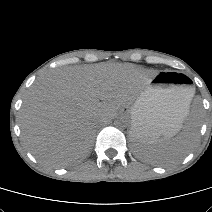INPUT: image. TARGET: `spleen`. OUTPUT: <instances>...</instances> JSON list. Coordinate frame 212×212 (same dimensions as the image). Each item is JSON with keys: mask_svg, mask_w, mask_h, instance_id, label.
<instances>
[{"mask_svg": "<svg viewBox=\"0 0 212 212\" xmlns=\"http://www.w3.org/2000/svg\"><path fill=\"white\" fill-rule=\"evenodd\" d=\"M195 90L191 88L190 93L185 95L184 118L189 114L190 102ZM198 124L195 128L185 126L183 132L178 136L154 145H136V155L146 162L154 165H171L181 161L190 151L193 143L198 137Z\"/></svg>", "mask_w": 212, "mask_h": 212, "instance_id": "obj_1", "label": "spleen"}]
</instances>
